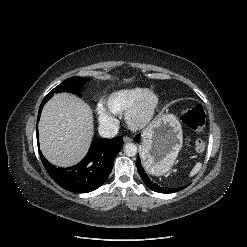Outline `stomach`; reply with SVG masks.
<instances>
[{"instance_id": "stomach-1", "label": "stomach", "mask_w": 247, "mask_h": 247, "mask_svg": "<svg viewBox=\"0 0 247 247\" xmlns=\"http://www.w3.org/2000/svg\"><path fill=\"white\" fill-rule=\"evenodd\" d=\"M183 146L181 123L174 115H160L144 132L140 157L146 171L160 176L174 165Z\"/></svg>"}]
</instances>
